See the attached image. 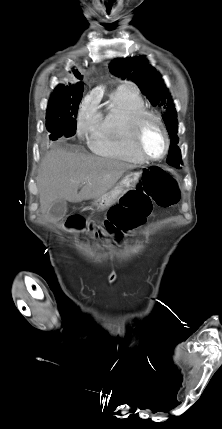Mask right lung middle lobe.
<instances>
[{"label": "right lung middle lobe", "instance_id": "dd1d6c3e", "mask_svg": "<svg viewBox=\"0 0 222 429\" xmlns=\"http://www.w3.org/2000/svg\"><path fill=\"white\" fill-rule=\"evenodd\" d=\"M84 91L83 85H76L65 93H52L46 111V128L52 141L76 131V115Z\"/></svg>", "mask_w": 222, "mask_h": 429}]
</instances>
